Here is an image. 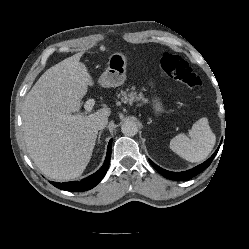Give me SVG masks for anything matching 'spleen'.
<instances>
[{
    "mask_svg": "<svg viewBox=\"0 0 249 249\" xmlns=\"http://www.w3.org/2000/svg\"><path fill=\"white\" fill-rule=\"evenodd\" d=\"M215 142L216 136L208 119L203 117L193 124L190 138L185 134H178L171 139L170 148L189 162H200L210 154Z\"/></svg>",
    "mask_w": 249,
    "mask_h": 249,
    "instance_id": "3e777b00",
    "label": "spleen"
}]
</instances>
